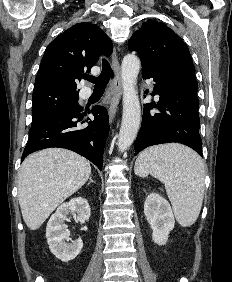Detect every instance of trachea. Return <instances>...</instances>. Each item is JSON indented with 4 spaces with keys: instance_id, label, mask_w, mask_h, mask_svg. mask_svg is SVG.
I'll list each match as a JSON object with an SVG mask.
<instances>
[{
    "instance_id": "trachea-1",
    "label": "trachea",
    "mask_w": 232,
    "mask_h": 282,
    "mask_svg": "<svg viewBox=\"0 0 232 282\" xmlns=\"http://www.w3.org/2000/svg\"><path fill=\"white\" fill-rule=\"evenodd\" d=\"M114 74L107 60L102 61V71L98 77L85 76L84 79L92 82L94 84V92H104L107 83L110 78H113Z\"/></svg>"
}]
</instances>
